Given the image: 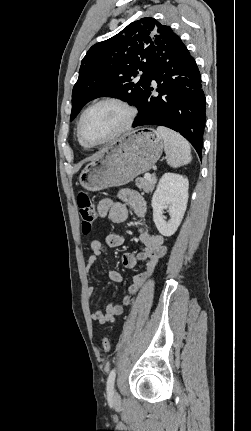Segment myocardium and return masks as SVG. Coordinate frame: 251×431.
Listing matches in <instances>:
<instances>
[{
  "label": "myocardium",
  "mask_w": 251,
  "mask_h": 431,
  "mask_svg": "<svg viewBox=\"0 0 251 431\" xmlns=\"http://www.w3.org/2000/svg\"><path fill=\"white\" fill-rule=\"evenodd\" d=\"M103 104H114V105L121 107L126 112V119H125L124 124L115 133H113L109 137H107V138H105L99 142L92 143V142L87 141L84 138L83 131H82L83 121H84L85 116L87 115V113L90 110H92L93 108H95L99 105H103ZM136 115H137L136 108L121 98H118V97L101 98V99L95 101L94 103H92L91 105H89L82 112L80 119H79V122H78V126H77L78 138L84 146L89 147V148L98 147V146L107 144V143L112 142V141L118 139L119 137L123 136L125 133H127L131 129V127L135 121Z\"/></svg>",
  "instance_id": "myocardium-1"
}]
</instances>
